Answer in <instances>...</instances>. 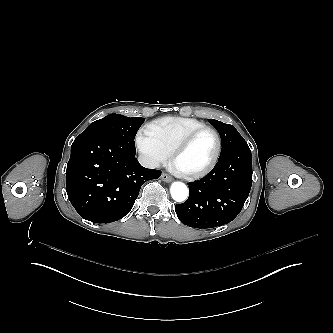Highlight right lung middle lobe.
<instances>
[{
    "label": "right lung middle lobe",
    "instance_id": "1",
    "mask_svg": "<svg viewBox=\"0 0 333 333\" xmlns=\"http://www.w3.org/2000/svg\"><path fill=\"white\" fill-rule=\"evenodd\" d=\"M144 122V118H129L120 114H110L91 123L80 135L103 133L135 146V135Z\"/></svg>",
    "mask_w": 333,
    "mask_h": 333
}]
</instances>
